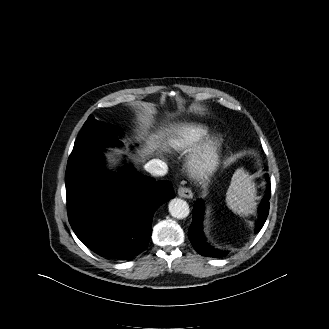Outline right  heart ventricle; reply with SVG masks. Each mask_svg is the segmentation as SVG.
<instances>
[{"label":"right heart ventricle","mask_w":329,"mask_h":329,"mask_svg":"<svg viewBox=\"0 0 329 329\" xmlns=\"http://www.w3.org/2000/svg\"><path fill=\"white\" fill-rule=\"evenodd\" d=\"M209 134L210 130L202 125H181L172 129L168 143L173 150L185 152L196 147Z\"/></svg>","instance_id":"e07e8e85"}]
</instances>
